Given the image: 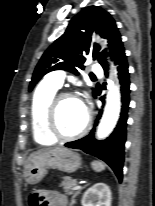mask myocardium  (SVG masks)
<instances>
[{"label": "myocardium", "instance_id": "obj_1", "mask_svg": "<svg viewBox=\"0 0 155 206\" xmlns=\"http://www.w3.org/2000/svg\"><path fill=\"white\" fill-rule=\"evenodd\" d=\"M65 98H77V96L72 92H60L55 94L50 100L45 114V124L48 133L53 138L64 140V141L77 139L85 135L90 129L91 121H92L91 112L89 111L88 108L85 107L86 118L82 128L73 134H63L57 126L56 115H57V109L60 101Z\"/></svg>", "mask_w": 155, "mask_h": 206}]
</instances>
